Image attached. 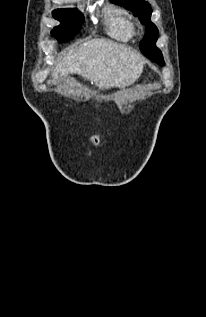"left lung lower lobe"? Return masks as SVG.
<instances>
[{
  "label": "left lung lower lobe",
  "mask_w": 206,
  "mask_h": 317,
  "mask_svg": "<svg viewBox=\"0 0 206 317\" xmlns=\"http://www.w3.org/2000/svg\"><path fill=\"white\" fill-rule=\"evenodd\" d=\"M148 58L152 60L153 56L149 54Z\"/></svg>",
  "instance_id": "left-lung-lower-lobe-1"
}]
</instances>
